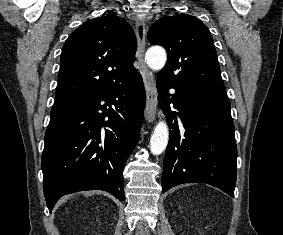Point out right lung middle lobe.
<instances>
[{
  "label": "right lung middle lobe",
  "mask_w": 283,
  "mask_h": 235,
  "mask_svg": "<svg viewBox=\"0 0 283 235\" xmlns=\"http://www.w3.org/2000/svg\"><path fill=\"white\" fill-rule=\"evenodd\" d=\"M66 104H57L54 105L52 110H51V115L57 114L58 112H60L61 110H63L64 106Z\"/></svg>",
  "instance_id": "1"
}]
</instances>
